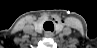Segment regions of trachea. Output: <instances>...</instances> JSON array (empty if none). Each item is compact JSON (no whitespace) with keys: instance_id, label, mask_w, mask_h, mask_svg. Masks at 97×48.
I'll return each instance as SVG.
<instances>
[{"instance_id":"obj_1","label":"trachea","mask_w":97,"mask_h":48,"mask_svg":"<svg viewBox=\"0 0 97 48\" xmlns=\"http://www.w3.org/2000/svg\"><path fill=\"white\" fill-rule=\"evenodd\" d=\"M43 27H44L45 30H50V31H53L54 30V24L51 21H46L44 23V26Z\"/></svg>"}]
</instances>
